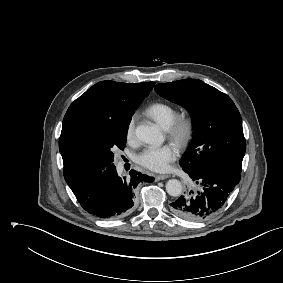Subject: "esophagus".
<instances>
[{
    "instance_id": "obj_1",
    "label": "esophagus",
    "mask_w": 283,
    "mask_h": 283,
    "mask_svg": "<svg viewBox=\"0 0 283 283\" xmlns=\"http://www.w3.org/2000/svg\"><path fill=\"white\" fill-rule=\"evenodd\" d=\"M169 178L168 175H156L155 180L160 181Z\"/></svg>"
}]
</instances>
